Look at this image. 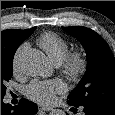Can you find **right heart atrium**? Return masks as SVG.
I'll list each match as a JSON object with an SVG mask.
<instances>
[{
    "label": "right heart atrium",
    "mask_w": 115,
    "mask_h": 115,
    "mask_svg": "<svg viewBox=\"0 0 115 115\" xmlns=\"http://www.w3.org/2000/svg\"><path fill=\"white\" fill-rule=\"evenodd\" d=\"M28 47V43H23L16 50L12 60V69L14 73H18L20 71L21 59L23 54L27 51Z\"/></svg>",
    "instance_id": "d8ad5b80"
}]
</instances>
